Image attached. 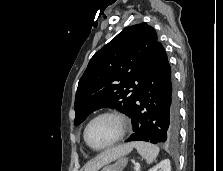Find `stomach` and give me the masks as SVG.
<instances>
[{
  "mask_svg": "<svg viewBox=\"0 0 223 171\" xmlns=\"http://www.w3.org/2000/svg\"><path fill=\"white\" fill-rule=\"evenodd\" d=\"M128 160L125 157H120L115 162V164L105 166L101 171H122L123 168L127 165Z\"/></svg>",
  "mask_w": 223,
  "mask_h": 171,
  "instance_id": "0dacf381",
  "label": "stomach"
}]
</instances>
